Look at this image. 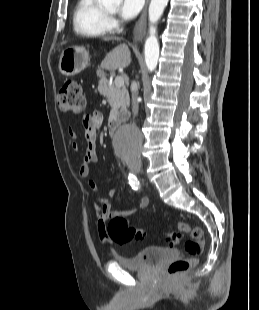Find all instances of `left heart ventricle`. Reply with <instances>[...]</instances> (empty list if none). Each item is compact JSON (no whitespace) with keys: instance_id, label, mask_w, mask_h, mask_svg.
Here are the masks:
<instances>
[{"instance_id":"obj_1","label":"left heart ventricle","mask_w":259,"mask_h":310,"mask_svg":"<svg viewBox=\"0 0 259 310\" xmlns=\"http://www.w3.org/2000/svg\"><path fill=\"white\" fill-rule=\"evenodd\" d=\"M110 13H113L114 11L112 10V11H109Z\"/></svg>"}]
</instances>
